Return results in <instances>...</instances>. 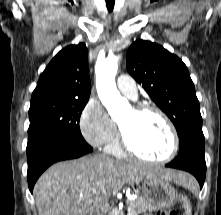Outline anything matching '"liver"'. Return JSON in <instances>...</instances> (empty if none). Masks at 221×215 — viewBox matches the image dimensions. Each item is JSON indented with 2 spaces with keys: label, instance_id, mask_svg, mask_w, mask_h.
<instances>
[{
  "label": "liver",
  "instance_id": "liver-1",
  "mask_svg": "<svg viewBox=\"0 0 221 215\" xmlns=\"http://www.w3.org/2000/svg\"><path fill=\"white\" fill-rule=\"evenodd\" d=\"M146 177L183 186L194 182L190 175L176 170L87 156L56 163L41 175L34 187L38 214L87 215L96 203L107 202L124 183L139 184Z\"/></svg>",
  "mask_w": 221,
  "mask_h": 215
}]
</instances>
